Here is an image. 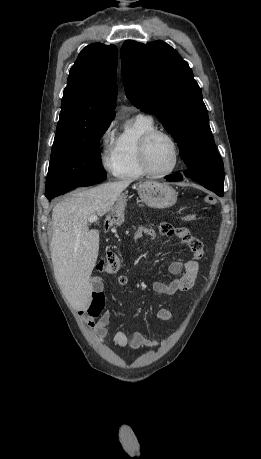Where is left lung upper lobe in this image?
I'll return each mask as SVG.
<instances>
[{"mask_svg":"<svg viewBox=\"0 0 261 459\" xmlns=\"http://www.w3.org/2000/svg\"><path fill=\"white\" fill-rule=\"evenodd\" d=\"M122 78L127 98L154 114L180 146L190 178L224 177L201 90L188 63L168 44L127 40L121 47Z\"/></svg>","mask_w":261,"mask_h":459,"instance_id":"5c2ea615","label":"left lung upper lobe"}]
</instances>
